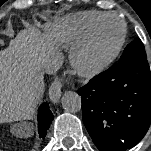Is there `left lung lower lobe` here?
Instances as JSON below:
<instances>
[{
  "mask_svg": "<svg viewBox=\"0 0 151 151\" xmlns=\"http://www.w3.org/2000/svg\"><path fill=\"white\" fill-rule=\"evenodd\" d=\"M77 93L82 119L100 151H125L145 136L151 121V72L147 57L118 62Z\"/></svg>",
  "mask_w": 151,
  "mask_h": 151,
  "instance_id": "obj_1",
  "label": "left lung lower lobe"
}]
</instances>
